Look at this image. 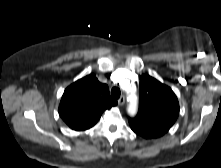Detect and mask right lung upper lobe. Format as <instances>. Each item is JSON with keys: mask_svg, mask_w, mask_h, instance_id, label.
I'll return each mask as SVG.
<instances>
[{"mask_svg": "<svg viewBox=\"0 0 221 168\" xmlns=\"http://www.w3.org/2000/svg\"><path fill=\"white\" fill-rule=\"evenodd\" d=\"M115 105L117 101L110 97L108 86L90 74L65 89L59 115L71 129L83 131L93 127L103 111Z\"/></svg>", "mask_w": 221, "mask_h": 168, "instance_id": "obj_1", "label": "right lung upper lobe"}]
</instances>
